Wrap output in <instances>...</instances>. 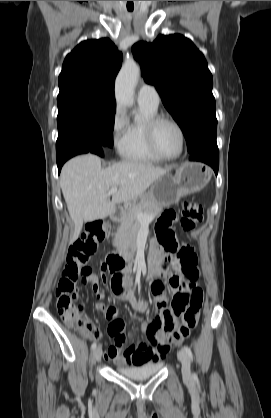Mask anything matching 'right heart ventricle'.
<instances>
[{
	"label": "right heart ventricle",
	"mask_w": 271,
	"mask_h": 418,
	"mask_svg": "<svg viewBox=\"0 0 271 418\" xmlns=\"http://www.w3.org/2000/svg\"><path fill=\"white\" fill-rule=\"evenodd\" d=\"M139 113L140 120L126 124L120 153L130 161L158 163L161 159L151 151L146 138V125L157 115V108L139 104Z\"/></svg>",
	"instance_id": "right-heart-ventricle-1"
}]
</instances>
